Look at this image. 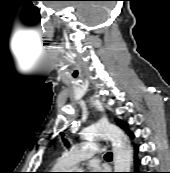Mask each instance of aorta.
<instances>
[{
  "instance_id": "aorta-1",
  "label": "aorta",
  "mask_w": 170,
  "mask_h": 173,
  "mask_svg": "<svg viewBox=\"0 0 170 173\" xmlns=\"http://www.w3.org/2000/svg\"><path fill=\"white\" fill-rule=\"evenodd\" d=\"M86 139L103 138L112 142L115 172H130L132 148L128 137L117 126L97 123L84 130Z\"/></svg>"
}]
</instances>
